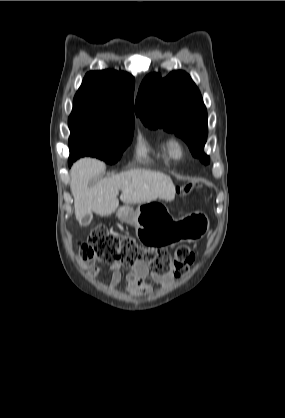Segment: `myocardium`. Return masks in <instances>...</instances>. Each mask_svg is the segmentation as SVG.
<instances>
[{"mask_svg":"<svg viewBox=\"0 0 285 418\" xmlns=\"http://www.w3.org/2000/svg\"><path fill=\"white\" fill-rule=\"evenodd\" d=\"M168 155L173 159H180L184 155V143L179 137H171L166 142Z\"/></svg>","mask_w":285,"mask_h":418,"instance_id":"1","label":"myocardium"}]
</instances>
